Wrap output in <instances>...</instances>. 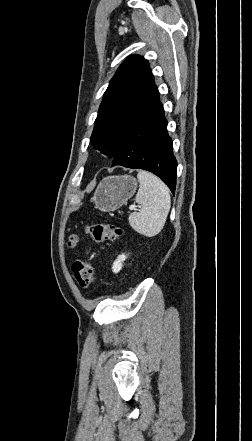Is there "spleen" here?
I'll return each mask as SVG.
<instances>
[{
  "label": "spleen",
  "mask_w": 252,
  "mask_h": 441,
  "mask_svg": "<svg viewBox=\"0 0 252 441\" xmlns=\"http://www.w3.org/2000/svg\"><path fill=\"white\" fill-rule=\"evenodd\" d=\"M140 183L135 201L140 204L138 212L130 214V226L139 234L153 237L164 227L171 198L168 187L155 175L140 170L137 174Z\"/></svg>",
  "instance_id": "spleen-1"
}]
</instances>
